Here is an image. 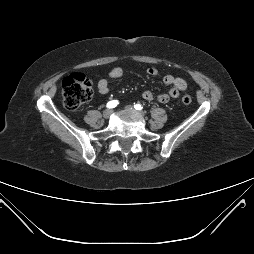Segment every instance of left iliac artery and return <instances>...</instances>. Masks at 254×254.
I'll return each mask as SVG.
<instances>
[{"instance_id":"44dca946","label":"left iliac artery","mask_w":254,"mask_h":254,"mask_svg":"<svg viewBox=\"0 0 254 254\" xmlns=\"http://www.w3.org/2000/svg\"><path fill=\"white\" fill-rule=\"evenodd\" d=\"M134 107L136 110H141L143 108L141 104H136Z\"/></svg>"}]
</instances>
